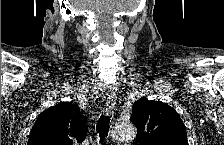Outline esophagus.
Here are the masks:
<instances>
[{
	"instance_id": "34e87169",
	"label": "esophagus",
	"mask_w": 224,
	"mask_h": 145,
	"mask_svg": "<svg viewBox=\"0 0 224 145\" xmlns=\"http://www.w3.org/2000/svg\"><path fill=\"white\" fill-rule=\"evenodd\" d=\"M114 106H115V103H114V100H113V95L111 94V95H109L108 100L106 102L105 112L107 114L113 113Z\"/></svg>"
}]
</instances>
